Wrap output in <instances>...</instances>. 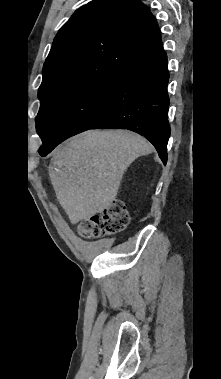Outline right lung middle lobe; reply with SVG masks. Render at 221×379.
Here are the masks:
<instances>
[{
    "label": "right lung middle lobe",
    "instance_id": "dd1d6c3e",
    "mask_svg": "<svg viewBox=\"0 0 221 379\" xmlns=\"http://www.w3.org/2000/svg\"><path fill=\"white\" fill-rule=\"evenodd\" d=\"M121 75H100L39 97L36 130L47 149L91 129L110 107Z\"/></svg>",
    "mask_w": 221,
    "mask_h": 379
}]
</instances>
